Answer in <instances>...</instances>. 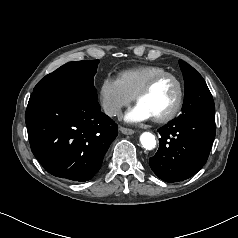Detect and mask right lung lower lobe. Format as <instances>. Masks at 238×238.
Wrapping results in <instances>:
<instances>
[{"label": "right lung lower lobe", "mask_w": 238, "mask_h": 238, "mask_svg": "<svg viewBox=\"0 0 238 238\" xmlns=\"http://www.w3.org/2000/svg\"><path fill=\"white\" fill-rule=\"evenodd\" d=\"M31 150L50 174L84 182L118 134L95 97L79 90L32 93L25 113Z\"/></svg>", "instance_id": "right-lung-lower-lobe-1"}]
</instances>
